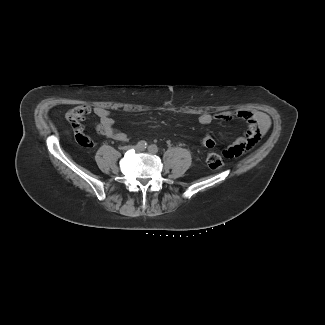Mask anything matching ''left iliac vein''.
Wrapping results in <instances>:
<instances>
[{
    "label": "left iliac vein",
    "instance_id": "1",
    "mask_svg": "<svg viewBox=\"0 0 325 325\" xmlns=\"http://www.w3.org/2000/svg\"><path fill=\"white\" fill-rule=\"evenodd\" d=\"M137 150H139V151H143L144 149L137 148Z\"/></svg>",
    "mask_w": 325,
    "mask_h": 325
}]
</instances>
